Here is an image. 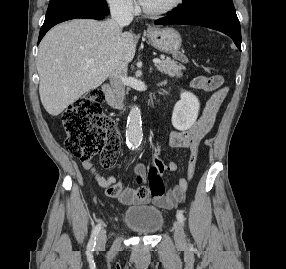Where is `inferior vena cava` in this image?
Segmentation results:
<instances>
[{
    "label": "inferior vena cava",
    "mask_w": 286,
    "mask_h": 269,
    "mask_svg": "<svg viewBox=\"0 0 286 269\" xmlns=\"http://www.w3.org/2000/svg\"><path fill=\"white\" fill-rule=\"evenodd\" d=\"M112 20L122 29L133 20L132 9L129 5L120 3L111 7ZM127 77V64L121 63L111 74V86L119 103L125 96V79Z\"/></svg>",
    "instance_id": "602c4592"
}]
</instances>
